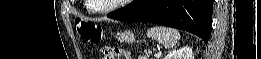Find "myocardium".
Segmentation results:
<instances>
[{"label": "myocardium", "instance_id": "obj_1", "mask_svg": "<svg viewBox=\"0 0 261 59\" xmlns=\"http://www.w3.org/2000/svg\"><path fill=\"white\" fill-rule=\"evenodd\" d=\"M128 0H118L117 3L113 4L112 6L105 8V9H94L91 8L92 11L97 12V13H109L112 12L114 10H116L117 8H119L123 3L127 2Z\"/></svg>", "mask_w": 261, "mask_h": 59}]
</instances>
